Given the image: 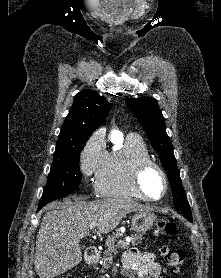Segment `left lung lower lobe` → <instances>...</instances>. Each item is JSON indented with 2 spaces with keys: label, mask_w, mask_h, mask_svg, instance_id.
I'll use <instances>...</instances> for the list:
<instances>
[{
  "label": "left lung lower lobe",
  "mask_w": 221,
  "mask_h": 278,
  "mask_svg": "<svg viewBox=\"0 0 221 278\" xmlns=\"http://www.w3.org/2000/svg\"><path fill=\"white\" fill-rule=\"evenodd\" d=\"M190 222H192V216L191 215H184Z\"/></svg>",
  "instance_id": "1"
}]
</instances>
